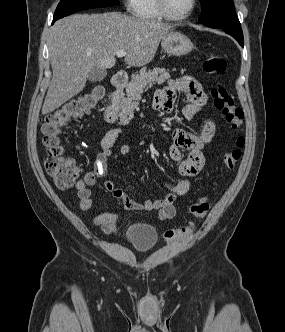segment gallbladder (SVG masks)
<instances>
[{"instance_id": "1", "label": "gallbladder", "mask_w": 285, "mask_h": 332, "mask_svg": "<svg viewBox=\"0 0 285 332\" xmlns=\"http://www.w3.org/2000/svg\"><path fill=\"white\" fill-rule=\"evenodd\" d=\"M107 75V71L105 68L94 67L90 70L87 79L90 82H100Z\"/></svg>"}]
</instances>
